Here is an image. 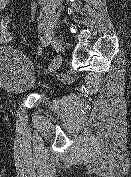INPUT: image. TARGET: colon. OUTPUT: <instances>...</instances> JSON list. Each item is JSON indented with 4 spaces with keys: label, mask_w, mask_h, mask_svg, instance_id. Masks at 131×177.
<instances>
[{
    "label": "colon",
    "mask_w": 131,
    "mask_h": 177,
    "mask_svg": "<svg viewBox=\"0 0 131 177\" xmlns=\"http://www.w3.org/2000/svg\"><path fill=\"white\" fill-rule=\"evenodd\" d=\"M12 32L10 30L9 20L7 18L0 19V45L10 42Z\"/></svg>",
    "instance_id": "colon-1"
}]
</instances>
